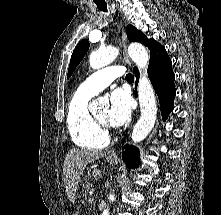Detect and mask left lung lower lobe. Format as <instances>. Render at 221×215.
Wrapping results in <instances>:
<instances>
[{
	"label": "left lung lower lobe",
	"instance_id": "1",
	"mask_svg": "<svg viewBox=\"0 0 221 215\" xmlns=\"http://www.w3.org/2000/svg\"><path fill=\"white\" fill-rule=\"evenodd\" d=\"M134 71L137 79V87L139 72L136 68ZM148 74L154 90L158 95L162 117L165 120L173 110L176 90L174 86L175 76L172 70V62L164 46L160 45L150 56ZM136 90L135 95L137 96ZM124 148L125 150L122 154L123 161L127 164L128 168L137 167L140 163L138 149L132 145L125 146Z\"/></svg>",
	"mask_w": 221,
	"mask_h": 215
}]
</instances>
